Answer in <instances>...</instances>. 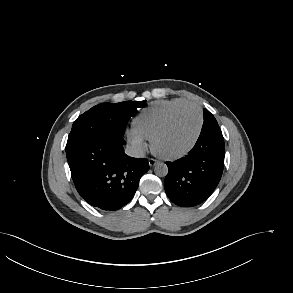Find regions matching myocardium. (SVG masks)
Returning a JSON list of instances; mask_svg holds the SVG:
<instances>
[{"instance_id":"obj_1","label":"myocardium","mask_w":293,"mask_h":293,"mask_svg":"<svg viewBox=\"0 0 293 293\" xmlns=\"http://www.w3.org/2000/svg\"><path fill=\"white\" fill-rule=\"evenodd\" d=\"M188 107H192L195 108L198 113H199V126H198V130L193 138V140L191 141V143L182 151L178 152V153H174V154H166L161 152L160 150H158L157 148V140L159 139V137L162 135V133L169 127V125L171 124V122L173 121V119L176 117V115L178 113H180L182 110L188 108ZM203 126H204V113L202 108L193 102H189L186 104H183L177 108H175L166 118L165 120L162 122V124L157 128V130L153 133L152 137H151V148L153 150V152L159 156L162 159H166V160H178L181 159L183 157H185L186 155H188L196 146L202 130H203Z\"/></svg>"}]
</instances>
